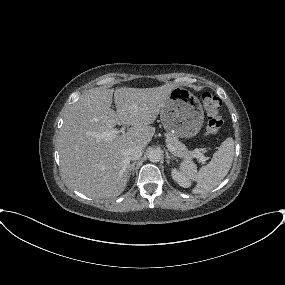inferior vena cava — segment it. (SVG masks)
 Listing matches in <instances>:
<instances>
[{
  "label": "inferior vena cava",
  "instance_id": "inferior-vena-cava-1",
  "mask_svg": "<svg viewBox=\"0 0 285 285\" xmlns=\"http://www.w3.org/2000/svg\"><path fill=\"white\" fill-rule=\"evenodd\" d=\"M126 153L129 160L136 161L141 158L143 154V148L139 146L131 147Z\"/></svg>",
  "mask_w": 285,
  "mask_h": 285
}]
</instances>
